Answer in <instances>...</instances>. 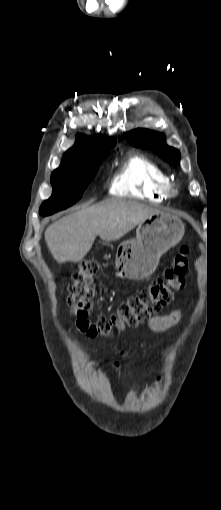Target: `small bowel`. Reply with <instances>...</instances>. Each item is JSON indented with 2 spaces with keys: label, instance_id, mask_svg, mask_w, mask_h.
<instances>
[{
  "label": "small bowel",
  "instance_id": "1",
  "mask_svg": "<svg viewBox=\"0 0 221 510\" xmlns=\"http://www.w3.org/2000/svg\"><path fill=\"white\" fill-rule=\"evenodd\" d=\"M181 317H182L181 310H176L170 314L159 315L150 318L147 322V325L152 330L161 331L177 324ZM126 354L127 352L125 350H121L119 352V357L124 358ZM93 366H96V363H94ZM112 367L117 376L119 377L121 373V362L119 360L113 362Z\"/></svg>",
  "mask_w": 221,
  "mask_h": 510
}]
</instances>
